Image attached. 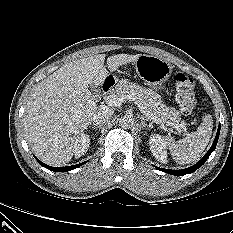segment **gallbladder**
Returning <instances> with one entry per match:
<instances>
[{"mask_svg": "<svg viewBox=\"0 0 233 233\" xmlns=\"http://www.w3.org/2000/svg\"><path fill=\"white\" fill-rule=\"evenodd\" d=\"M89 87H90L91 92L93 94H96V93H98L100 91V88L98 86L94 85V84H90Z\"/></svg>", "mask_w": 233, "mask_h": 233, "instance_id": "obj_1", "label": "gallbladder"}]
</instances>
